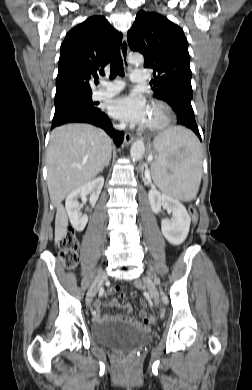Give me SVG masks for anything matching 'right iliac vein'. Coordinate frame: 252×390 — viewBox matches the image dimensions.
<instances>
[{
    "label": "right iliac vein",
    "instance_id": "63e3f726",
    "mask_svg": "<svg viewBox=\"0 0 252 390\" xmlns=\"http://www.w3.org/2000/svg\"><path fill=\"white\" fill-rule=\"evenodd\" d=\"M106 278H107V275L104 271H101L97 274L96 278L94 279V281H93V283H92V285H91V287L88 290L87 295H86L87 306H90L94 296L96 295V293L100 289V286L106 280Z\"/></svg>",
    "mask_w": 252,
    "mask_h": 390
}]
</instances>
